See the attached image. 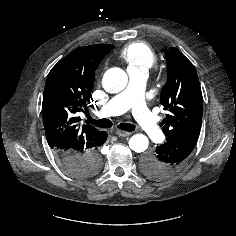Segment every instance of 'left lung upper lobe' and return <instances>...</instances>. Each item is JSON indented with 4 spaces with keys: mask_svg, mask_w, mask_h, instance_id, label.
Segmentation results:
<instances>
[{
    "mask_svg": "<svg viewBox=\"0 0 236 236\" xmlns=\"http://www.w3.org/2000/svg\"><path fill=\"white\" fill-rule=\"evenodd\" d=\"M168 78L160 102L169 111L162 121L166 140L199 135L202 121V92L193 64L176 48L165 53Z\"/></svg>",
    "mask_w": 236,
    "mask_h": 236,
    "instance_id": "obj_1",
    "label": "left lung upper lobe"
}]
</instances>
